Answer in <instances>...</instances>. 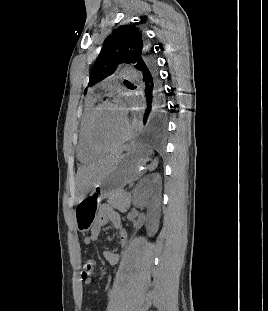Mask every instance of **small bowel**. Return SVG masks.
Returning <instances> with one entry per match:
<instances>
[{"label": "small bowel", "instance_id": "small-bowel-1", "mask_svg": "<svg viewBox=\"0 0 268 311\" xmlns=\"http://www.w3.org/2000/svg\"><path fill=\"white\" fill-rule=\"evenodd\" d=\"M108 222L116 229L121 246L125 247L128 241L127 231L122 225L119 214L109 207H104L101 210L90 234L84 238V243L90 246L92 243L99 241L101 230ZM104 257L112 265H116L120 261V255L111 250H105ZM83 281L86 285H90L92 278L91 276L83 277Z\"/></svg>", "mask_w": 268, "mask_h": 311}]
</instances>
